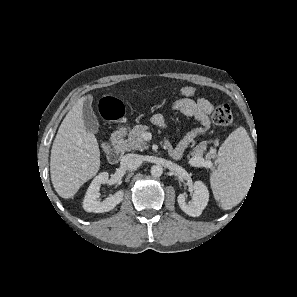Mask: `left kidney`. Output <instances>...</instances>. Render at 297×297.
I'll return each instance as SVG.
<instances>
[{
	"label": "left kidney",
	"instance_id": "5707ae66",
	"mask_svg": "<svg viewBox=\"0 0 297 297\" xmlns=\"http://www.w3.org/2000/svg\"><path fill=\"white\" fill-rule=\"evenodd\" d=\"M194 194L192 202L186 201V196L180 194L177 197L179 207L187 215L192 217L200 216L204 208L207 206L209 200V191L207 187L201 181H196L194 183Z\"/></svg>",
	"mask_w": 297,
	"mask_h": 297
}]
</instances>
